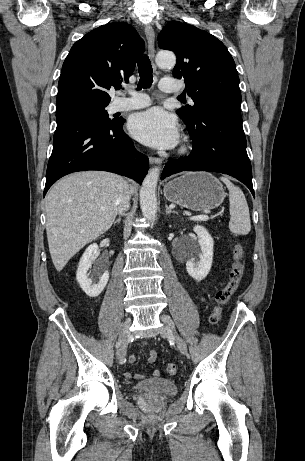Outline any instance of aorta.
<instances>
[{
  "label": "aorta",
  "mask_w": 305,
  "mask_h": 461,
  "mask_svg": "<svg viewBox=\"0 0 305 461\" xmlns=\"http://www.w3.org/2000/svg\"><path fill=\"white\" fill-rule=\"evenodd\" d=\"M156 63L161 68H171L176 64V57L171 52L162 51L156 56ZM159 169H151L143 180L140 189V206L145 218L152 221L157 215L156 187Z\"/></svg>",
  "instance_id": "1"
}]
</instances>
